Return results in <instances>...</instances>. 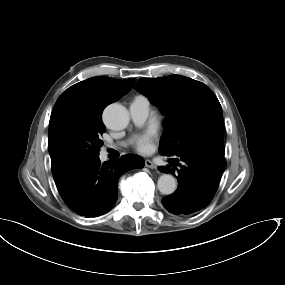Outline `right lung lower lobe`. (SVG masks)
Instances as JSON below:
<instances>
[{
  "label": "right lung lower lobe",
  "mask_w": 285,
  "mask_h": 285,
  "mask_svg": "<svg viewBox=\"0 0 285 285\" xmlns=\"http://www.w3.org/2000/svg\"><path fill=\"white\" fill-rule=\"evenodd\" d=\"M143 166L142 158L130 154L103 164L97 157L64 171L54 180L63 201L73 212L85 217H98L116 203L120 176Z\"/></svg>",
  "instance_id": "obj_1"
}]
</instances>
